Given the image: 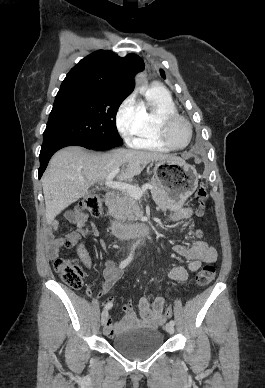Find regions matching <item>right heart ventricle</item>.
Masks as SVG:
<instances>
[{"label":"right heart ventricle","mask_w":265,"mask_h":388,"mask_svg":"<svg viewBox=\"0 0 265 388\" xmlns=\"http://www.w3.org/2000/svg\"><path fill=\"white\" fill-rule=\"evenodd\" d=\"M140 106L141 121L132 145L153 151H169L170 147L160 138L158 126L164 113L176 112L172 99L166 91H146V101Z\"/></svg>","instance_id":"obj_1"}]
</instances>
